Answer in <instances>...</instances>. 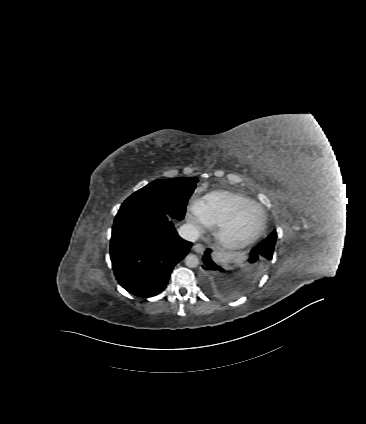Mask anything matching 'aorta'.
Listing matches in <instances>:
<instances>
[{
    "label": "aorta",
    "mask_w": 366,
    "mask_h": 424,
    "mask_svg": "<svg viewBox=\"0 0 366 424\" xmlns=\"http://www.w3.org/2000/svg\"><path fill=\"white\" fill-rule=\"evenodd\" d=\"M199 264V259L194 254H188L185 258V265L189 268H195Z\"/></svg>",
    "instance_id": "762f6f07"
}]
</instances>
